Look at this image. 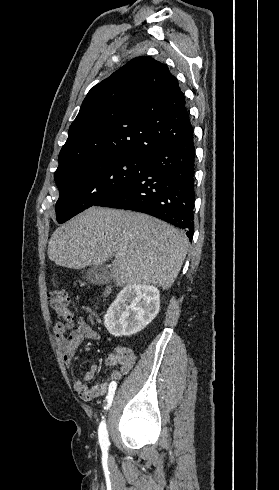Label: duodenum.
<instances>
[{
    "instance_id": "410a0bca",
    "label": "duodenum",
    "mask_w": 279,
    "mask_h": 490,
    "mask_svg": "<svg viewBox=\"0 0 279 490\" xmlns=\"http://www.w3.org/2000/svg\"><path fill=\"white\" fill-rule=\"evenodd\" d=\"M108 291H109V289H107V290L105 291V294H107V293H108Z\"/></svg>"
}]
</instances>
